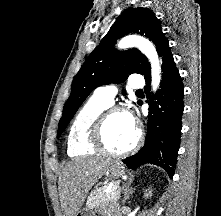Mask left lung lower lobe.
Listing matches in <instances>:
<instances>
[{
  "instance_id": "1",
  "label": "left lung lower lobe",
  "mask_w": 221,
  "mask_h": 216,
  "mask_svg": "<svg viewBox=\"0 0 221 216\" xmlns=\"http://www.w3.org/2000/svg\"><path fill=\"white\" fill-rule=\"evenodd\" d=\"M162 57V81L154 99L148 100L150 106L147 138L144 146L133 156L123 160L130 168L148 162L163 167L172 178L180 147V135L183 114L184 87L182 78L176 68L169 43H164L158 53ZM145 93L148 98L151 74L150 68L144 75ZM141 104V103H139Z\"/></svg>"
}]
</instances>
